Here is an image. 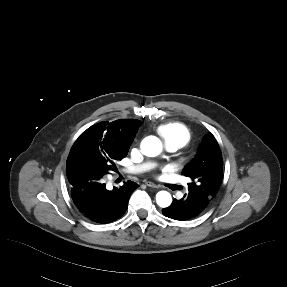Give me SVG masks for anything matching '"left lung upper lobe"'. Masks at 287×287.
I'll use <instances>...</instances> for the list:
<instances>
[{"label":"left lung upper lobe","mask_w":287,"mask_h":287,"mask_svg":"<svg viewBox=\"0 0 287 287\" xmlns=\"http://www.w3.org/2000/svg\"><path fill=\"white\" fill-rule=\"evenodd\" d=\"M222 155L212 133H208L196 157L185 166L182 174L190 177L189 195L209 204L216 196L222 181Z\"/></svg>","instance_id":"5c2ea615"}]
</instances>
